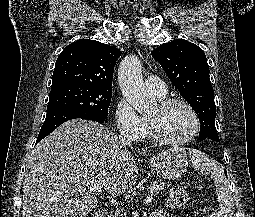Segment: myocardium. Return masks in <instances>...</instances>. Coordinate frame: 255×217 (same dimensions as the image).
<instances>
[{
    "mask_svg": "<svg viewBox=\"0 0 255 217\" xmlns=\"http://www.w3.org/2000/svg\"><path fill=\"white\" fill-rule=\"evenodd\" d=\"M174 104H181V105L185 106L190 111V113L194 119V127H193L192 132L189 134V136H187L184 139H180V140H171V139L163 137L158 132L155 124L149 118H148V126H149L151 136L158 143L163 144V145H168V146H181V145L188 144L196 137V135L198 134L200 127H201V120H200V116H199L197 110L195 109V107L188 100H186L184 98L173 97V98L161 99L158 104V107L161 110H165Z\"/></svg>",
    "mask_w": 255,
    "mask_h": 217,
    "instance_id": "1",
    "label": "myocardium"
}]
</instances>
